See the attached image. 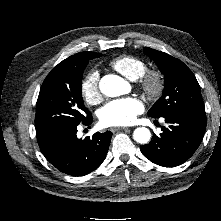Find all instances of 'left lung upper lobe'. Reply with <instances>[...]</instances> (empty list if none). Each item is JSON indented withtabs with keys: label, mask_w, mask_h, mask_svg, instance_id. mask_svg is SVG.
Wrapping results in <instances>:
<instances>
[{
	"label": "left lung upper lobe",
	"mask_w": 221,
	"mask_h": 221,
	"mask_svg": "<svg viewBox=\"0 0 221 221\" xmlns=\"http://www.w3.org/2000/svg\"><path fill=\"white\" fill-rule=\"evenodd\" d=\"M144 53L158 65L165 81L163 95L148 115L159 118L177 112L205 114L200 86L191 70L182 61L164 52L146 47Z\"/></svg>",
	"instance_id": "5c2ea615"
}]
</instances>
